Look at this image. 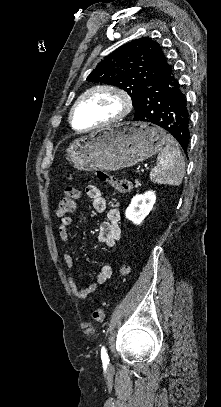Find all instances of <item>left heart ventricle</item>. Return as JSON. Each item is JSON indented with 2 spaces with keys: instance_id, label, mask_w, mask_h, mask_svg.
<instances>
[{
  "instance_id": "b2bd125f",
  "label": "left heart ventricle",
  "mask_w": 221,
  "mask_h": 407,
  "mask_svg": "<svg viewBox=\"0 0 221 407\" xmlns=\"http://www.w3.org/2000/svg\"><path fill=\"white\" fill-rule=\"evenodd\" d=\"M121 109L119 98L109 92H98L87 97L76 109L74 125L83 129L114 117Z\"/></svg>"
}]
</instances>
